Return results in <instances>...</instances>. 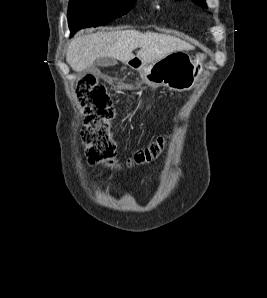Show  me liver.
Wrapping results in <instances>:
<instances>
[{"label":"liver","mask_w":267,"mask_h":298,"mask_svg":"<svg viewBox=\"0 0 267 298\" xmlns=\"http://www.w3.org/2000/svg\"><path fill=\"white\" fill-rule=\"evenodd\" d=\"M140 48L136 57L145 63H154L170 53L194 49L189 43L166 34L140 33L135 30L97 32L75 36L69 44L66 61L76 72H81L102 58L128 62L132 53Z\"/></svg>","instance_id":"1"}]
</instances>
